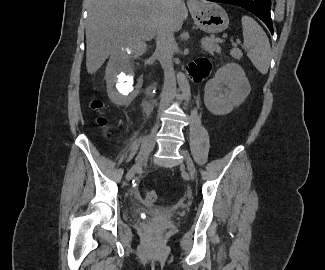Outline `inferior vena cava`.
<instances>
[{
  "label": "inferior vena cava",
  "mask_w": 325,
  "mask_h": 270,
  "mask_svg": "<svg viewBox=\"0 0 325 270\" xmlns=\"http://www.w3.org/2000/svg\"><path fill=\"white\" fill-rule=\"evenodd\" d=\"M175 2L177 0H162L164 13L158 23L156 33L157 52L165 76L159 107L160 113L173 102L176 93V80L173 67V51L176 47V42L170 22L171 8Z\"/></svg>",
  "instance_id": "1"
}]
</instances>
